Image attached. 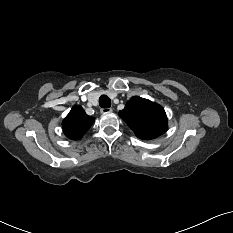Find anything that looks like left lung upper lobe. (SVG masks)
<instances>
[{"instance_id": "left-lung-upper-lobe-1", "label": "left lung upper lobe", "mask_w": 233, "mask_h": 233, "mask_svg": "<svg viewBox=\"0 0 233 233\" xmlns=\"http://www.w3.org/2000/svg\"><path fill=\"white\" fill-rule=\"evenodd\" d=\"M119 116L140 139H153L167 130L164 109L159 104L138 96L127 102Z\"/></svg>"}]
</instances>
